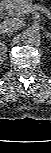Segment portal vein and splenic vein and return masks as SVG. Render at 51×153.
<instances>
[{"instance_id": "portal-vein-and-splenic-vein-1", "label": "portal vein and splenic vein", "mask_w": 51, "mask_h": 153, "mask_svg": "<svg viewBox=\"0 0 51 153\" xmlns=\"http://www.w3.org/2000/svg\"><path fill=\"white\" fill-rule=\"evenodd\" d=\"M38 9H39L38 6H36V5H31V6H28V7H27L26 11H27L28 13H31V12H33V11H35V10H38Z\"/></svg>"}]
</instances>
